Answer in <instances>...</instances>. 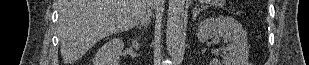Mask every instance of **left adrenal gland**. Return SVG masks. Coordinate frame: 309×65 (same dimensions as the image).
Masks as SVG:
<instances>
[{"mask_svg":"<svg viewBox=\"0 0 309 65\" xmlns=\"http://www.w3.org/2000/svg\"><path fill=\"white\" fill-rule=\"evenodd\" d=\"M200 11H201L200 8H195V9L193 10V21L196 20V18L198 17Z\"/></svg>","mask_w":309,"mask_h":65,"instance_id":"1","label":"left adrenal gland"}]
</instances>
